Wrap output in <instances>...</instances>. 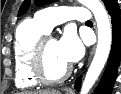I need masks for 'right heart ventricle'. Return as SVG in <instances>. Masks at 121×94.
Instances as JSON below:
<instances>
[{
    "instance_id": "e07e8e85",
    "label": "right heart ventricle",
    "mask_w": 121,
    "mask_h": 94,
    "mask_svg": "<svg viewBox=\"0 0 121 94\" xmlns=\"http://www.w3.org/2000/svg\"><path fill=\"white\" fill-rule=\"evenodd\" d=\"M48 31L35 19L22 22L16 32L13 55L15 62V83L21 89L39 85L31 71V54L36 41Z\"/></svg>"
}]
</instances>
